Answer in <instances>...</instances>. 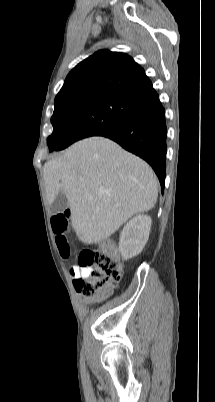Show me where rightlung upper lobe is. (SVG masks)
Instances as JSON below:
<instances>
[{
  "instance_id": "right-lung-upper-lobe-1",
  "label": "right lung upper lobe",
  "mask_w": 215,
  "mask_h": 402,
  "mask_svg": "<svg viewBox=\"0 0 215 402\" xmlns=\"http://www.w3.org/2000/svg\"><path fill=\"white\" fill-rule=\"evenodd\" d=\"M92 93L113 94L139 104L158 95L130 56L108 50L96 52L73 68L55 99Z\"/></svg>"
}]
</instances>
